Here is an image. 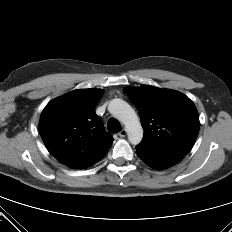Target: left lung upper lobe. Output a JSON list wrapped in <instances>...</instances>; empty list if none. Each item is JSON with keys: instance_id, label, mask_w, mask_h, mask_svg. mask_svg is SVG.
Returning a JSON list of instances; mask_svg holds the SVG:
<instances>
[{"instance_id": "left-lung-upper-lobe-1", "label": "left lung upper lobe", "mask_w": 232, "mask_h": 232, "mask_svg": "<svg viewBox=\"0 0 232 232\" xmlns=\"http://www.w3.org/2000/svg\"><path fill=\"white\" fill-rule=\"evenodd\" d=\"M144 128L138 152L151 155L187 154L199 132L198 111L184 94L154 86L126 87Z\"/></svg>"}]
</instances>
